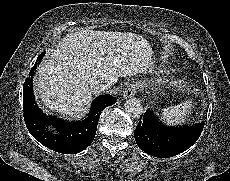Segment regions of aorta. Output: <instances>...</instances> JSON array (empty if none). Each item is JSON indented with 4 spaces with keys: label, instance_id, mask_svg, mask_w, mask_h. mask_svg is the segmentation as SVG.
I'll return each instance as SVG.
<instances>
[{
    "label": "aorta",
    "instance_id": "762f6f07",
    "mask_svg": "<svg viewBox=\"0 0 230 181\" xmlns=\"http://www.w3.org/2000/svg\"><path fill=\"white\" fill-rule=\"evenodd\" d=\"M125 112L132 118H140L143 114V106L141 102L136 98L128 99L125 104Z\"/></svg>",
    "mask_w": 230,
    "mask_h": 181
}]
</instances>
